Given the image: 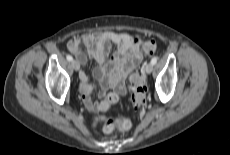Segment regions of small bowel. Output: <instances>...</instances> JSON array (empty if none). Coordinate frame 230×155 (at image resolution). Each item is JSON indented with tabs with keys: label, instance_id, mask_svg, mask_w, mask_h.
Instances as JSON below:
<instances>
[{
	"label": "small bowel",
	"instance_id": "small-bowel-1",
	"mask_svg": "<svg viewBox=\"0 0 230 155\" xmlns=\"http://www.w3.org/2000/svg\"><path fill=\"white\" fill-rule=\"evenodd\" d=\"M145 42L138 35L119 33L114 31H100L87 33L71 39L67 48L79 64H85L87 57L94 59L98 66L93 70L94 77L100 82L102 100L93 102V85L84 72L80 73L81 93L85 107L90 110L106 111L111 106L109 99L114 97L118 101L119 95L126 93V78L142 60ZM81 45L86 48V54ZM116 50L109 58L111 47ZM146 53V52H145ZM108 88L114 93L105 96Z\"/></svg>",
	"mask_w": 230,
	"mask_h": 155
}]
</instances>
